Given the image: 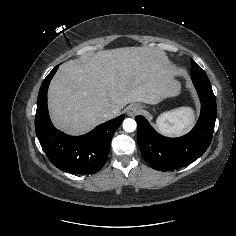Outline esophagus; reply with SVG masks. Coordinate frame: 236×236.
I'll list each match as a JSON object with an SVG mask.
<instances>
[{"label": "esophagus", "instance_id": "34e87169", "mask_svg": "<svg viewBox=\"0 0 236 236\" xmlns=\"http://www.w3.org/2000/svg\"><path fill=\"white\" fill-rule=\"evenodd\" d=\"M141 107L137 104L131 105L128 109H127V114L128 116H135L137 114H139L141 112Z\"/></svg>", "mask_w": 236, "mask_h": 236}]
</instances>
